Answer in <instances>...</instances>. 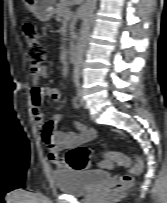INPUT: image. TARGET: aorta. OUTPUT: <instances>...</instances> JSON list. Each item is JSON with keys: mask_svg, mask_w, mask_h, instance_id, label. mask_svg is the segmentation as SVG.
Listing matches in <instances>:
<instances>
[{"mask_svg": "<svg viewBox=\"0 0 167 203\" xmlns=\"http://www.w3.org/2000/svg\"><path fill=\"white\" fill-rule=\"evenodd\" d=\"M97 0H86L84 4L83 22L81 25L79 38L74 53V72L79 74L83 66V57L86 51L90 29L93 22L94 10Z\"/></svg>", "mask_w": 167, "mask_h": 203, "instance_id": "obj_1", "label": "aorta"}]
</instances>
